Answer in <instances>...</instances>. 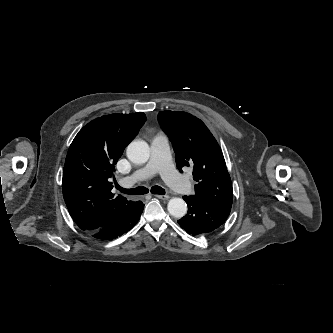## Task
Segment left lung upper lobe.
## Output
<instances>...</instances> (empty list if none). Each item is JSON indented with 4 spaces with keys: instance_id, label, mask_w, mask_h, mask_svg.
I'll return each mask as SVG.
<instances>
[{
    "instance_id": "obj_1",
    "label": "left lung upper lobe",
    "mask_w": 333,
    "mask_h": 333,
    "mask_svg": "<svg viewBox=\"0 0 333 333\" xmlns=\"http://www.w3.org/2000/svg\"><path fill=\"white\" fill-rule=\"evenodd\" d=\"M158 121L172 142L177 168H193L196 198L222 208L232 207L233 189L222 150L197 117L180 111H162Z\"/></svg>"
}]
</instances>
